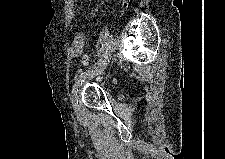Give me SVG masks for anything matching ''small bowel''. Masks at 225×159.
<instances>
[{
	"instance_id": "1",
	"label": "small bowel",
	"mask_w": 225,
	"mask_h": 159,
	"mask_svg": "<svg viewBox=\"0 0 225 159\" xmlns=\"http://www.w3.org/2000/svg\"><path fill=\"white\" fill-rule=\"evenodd\" d=\"M102 4H103V2H102ZM68 6H69L70 18H73V16H74L73 3L69 2ZM84 45H85L84 33L83 32H78L75 35V37L73 39V42H72V45L70 47V50H69L70 56L71 57H78V56H80L83 53Z\"/></svg>"
}]
</instances>
